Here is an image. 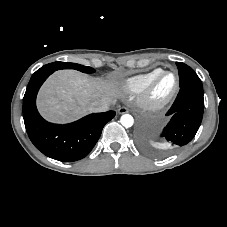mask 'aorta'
<instances>
[{
    "label": "aorta",
    "mask_w": 227,
    "mask_h": 227,
    "mask_svg": "<svg viewBox=\"0 0 227 227\" xmlns=\"http://www.w3.org/2000/svg\"><path fill=\"white\" fill-rule=\"evenodd\" d=\"M120 122L124 127L128 128L133 125L134 119L130 114H124L121 116Z\"/></svg>",
    "instance_id": "762f6f07"
}]
</instances>
